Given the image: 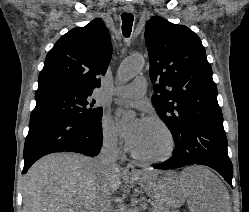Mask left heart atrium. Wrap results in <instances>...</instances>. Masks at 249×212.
Wrapping results in <instances>:
<instances>
[{
    "label": "left heart atrium",
    "instance_id": "39dd6f15",
    "mask_svg": "<svg viewBox=\"0 0 249 212\" xmlns=\"http://www.w3.org/2000/svg\"><path fill=\"white\" fill-rule=\"evenodd\" d=\"M144 120L136 118L128 121L123 110L116 113V128L129 150L135 151L141 137Z\"/></svg>",
    "mask_w": 249,
    "mask_h": 212
}]
</instances>
